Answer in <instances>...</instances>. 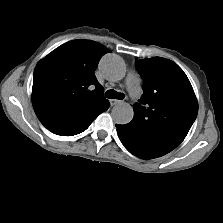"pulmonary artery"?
Instances as JSON below:
<instances>
[{
	"mask_svg": "<svg viewBox=\"0 0 223 223\" xmlns=\"http://www.w3.org/2000/svg\"><path fill=\"white\" fill-rule=\"evenodd\" d=\"M141 78L139 74L131 72L128 74L126 79L127 90L134 100H138L141 95Z\"/></svg>",
	"mask_w": 223,
	"mask_h": 223,
	"instance_id": "1",
	"label": "pulmonary artery"
}]
</instances>
